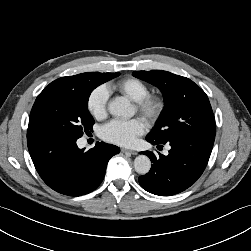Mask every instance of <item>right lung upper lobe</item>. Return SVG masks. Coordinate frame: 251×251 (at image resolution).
Listing matches in <instances>:
<instances>
[{
  "instance_id": "obj_1",
  "label": "right lung upper lobe",
  "mask_w": 251,
  "mask_h": 251,
  "mask_svg": "<svg viewBox=\"0 0 251 251\" xmlns=\"http://www.w3.org/2000/svg\"><path fill=\"white\" fill-rule=\"evenodd\" d=\"M81 77V74L74 76L61 77L49 84V86H72L74 85Z\"/></svg>"
}]
</instances>
